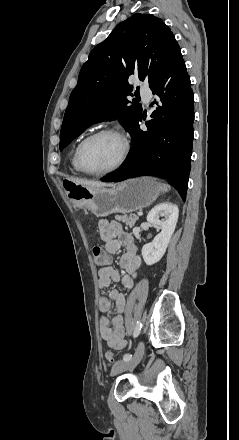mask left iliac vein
Listing matches in <instances>:
<instances>
[{
  "label": "left iliac vein",
  "instance_id": "4c4485c4",
  "mask_svg": "<svg viewBox=\"0 0 239 440\" xmlns=\"http://www.w3.org/2000/svg\"><path fill=\"white\" fill-rule=\"evenodd\" d=\"M143 355H144V343L139 342L134 356L129 360L117 361L111 369V374L114 376L123 371L135 368L138 365V363L141 361Z\"/></svg>",
  "mask_w": 239,
  "mask_h": 440
}]
</instances>
